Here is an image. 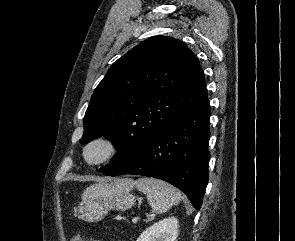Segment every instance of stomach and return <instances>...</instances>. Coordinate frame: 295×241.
I'll return each instance as SVG.
<instances>
[{
	"instance_id": "1",
	"label": "stomach",
	"mask_w": 295,
	"mask_h": 241,
	"mask_svg": "<svg viewBox=\"0 0 295 241\" xmlns=\"http://www.w3.org/2000/svg\"><path fill=\"white\" fill-rule=\"evenodd\" d=\"M127 180L101 182L87 188L77 209L79 218L87 222H97L110 210L125 211L132 208L136 202L131 194L134 183H128Z\"/></svg>"
}]
</instances>
